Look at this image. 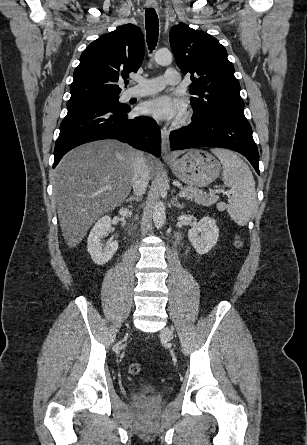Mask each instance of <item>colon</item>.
I'll return each instance as SVG.
<instances>
[{
  "mask_svg": "<svg viewBox=\"0 0 307 445\" xmlns=\"http://www.w3.org/2000/svg\"><path fill=\"white\" fill-rule=\"evenodd\" d=\"M234 245L236 248L240 249L243 245L242 239L239 236L235 237ZM142 370V366L139 363H131L128 367V372L131 375H138Z\"/></svg>",
  "mask_w": 307,
  "mask_h": 445,
  "instance_id": "5ec220e1",
  "label": "colon"
}]
</instances>
